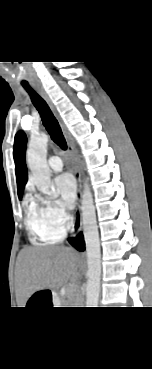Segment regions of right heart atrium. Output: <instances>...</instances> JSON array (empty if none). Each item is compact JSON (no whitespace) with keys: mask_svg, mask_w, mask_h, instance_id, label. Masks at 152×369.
I'll list each match as a JSON object with an SVG mask.
<instances>
[{"mask_svg":"<svg viewBox=\"0 0 152 369\" xmlns=\"http://www.w3.org/2000/svg\"><path fill=\"white\" fill-rule=\"evenodd\" d=\"M37 204L53 233L63 234L69 217L60 204L52 199H39Z\"/></svg>","mask_w":152,"mask_h":369,"instance_id":"d8ad5b80","label":"right heart atrium"}]
</instances>
